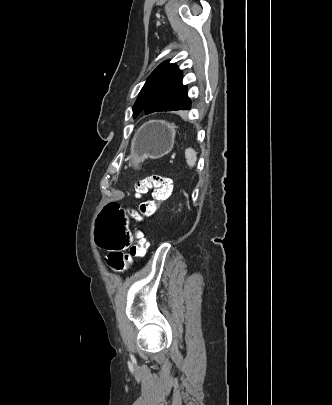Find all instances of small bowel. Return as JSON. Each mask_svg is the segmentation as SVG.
<instances>
[{
  "mask_svg": "<svg viewBox=\"0 0 332 405\" xmlns=\"http://www.w3.org/2000/svg\"><path fill=\"white\" fill-rule=\"evenodd\" d=\"M120 254H121V253H120ZM113 255H116V254H109V263H110L111 257H112Z\"/></svg>",
  "mask_w": 332,
  "mask_h": 405,
  "instance_id": "small-bowel-1",
  "label": "small bowel"
}]
</instances>
